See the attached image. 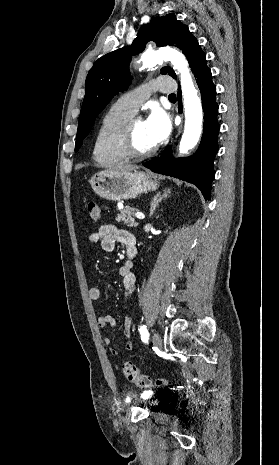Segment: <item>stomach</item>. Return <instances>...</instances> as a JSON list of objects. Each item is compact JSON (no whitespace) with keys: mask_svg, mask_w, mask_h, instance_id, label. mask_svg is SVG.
I'll use <instances>...</instances> for the list:
<instances>
[{"mask_svg":"<svg viewBox=\"0 0 279 465\" xmlns=\"http://www.w3.org/2000/svg\"><path fill=\"white\" fill-rule=\"evenodd\" d=\"M89 183L97 195L112 201L133 199L159 186L148 174L136 170L101 171L94 174Z\"/></svg>","mask_w":279,"mask_h":465,"instance_id":"1","label":"stomach"}]
</instances>
